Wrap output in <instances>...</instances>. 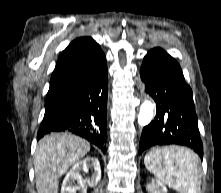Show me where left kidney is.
Listing matches in <instances>:
<instances>
[{
  "label": "left kidney",
  "mask_w": 221,
  "mask_h": 193,
  "mask_svg": "<svg viewBox=\"0 0 221 193\" xmlns=\"http://www.w3.org/2000/svg\"><path fill=\"white\" fill-rule=\"evenodd\" d=\"M147 190L150 193H167V188L159 180H152L151 183L147 184Z\"/></svg>",
  "instance_id": "1"
}]
</instances>
